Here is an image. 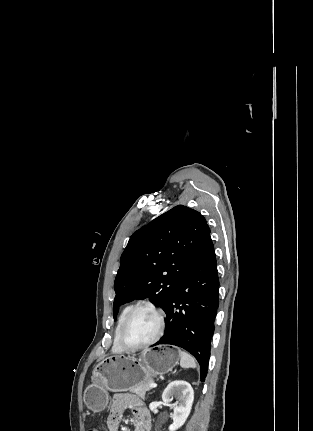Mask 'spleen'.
<instances>
[{
	"mask_svg": "<svg viewBox=\"0 0 313 431\" xmlns=\"http://www.w3.org/2000/svg\"><path fill=\"white\" fill-rule=\"evenodd\" d=\"M180 366L182 368H196L195 359L185 351L180 352Z\"/></svg>",
	"mask_w": 313,
	"mask_h": 431,
	"instance_id": "spleen-1",
	"label": "spleen"
}]
</instances>
